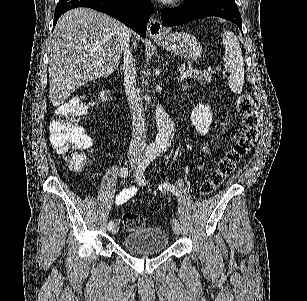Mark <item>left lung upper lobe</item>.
<instances>
[{
	"label": "left lung upper lobe",
	"mask_w": 307,
	"mask_h": 301,
	"mask_svg": "<svg viewBox=\"0 0 307 301\" xmlns=\"http://www.w3.org/2000/svg\"><path fill=\"white\" fill-rule=\"evenodd\" d=\"M194 1H197V0H186V3L188 2H194ZM234 1V0H233Z\"/></svg>",
	"instance_id": "5c2ea615"
}]
</instances>
